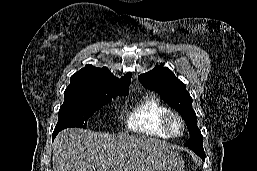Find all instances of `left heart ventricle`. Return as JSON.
Instances as JSON below:
<instances>
[{
    "mask_svg": "<svg viewBox=\"0 0 257 171\" xmlns=\"http://www.w3.org/2000/svg\"><path fill=\"white\" fill-rule=\"evenodd\" d=\"M173 128H174V130L177 132V131H179V129H180V126H179V124L175 121V122H173Z\"/></svg>",
    "mask_w": 257,
    "mask_h": 171,
    "instance_id": "1",
    "label": "left heart ventricle"
}]
</instances>
